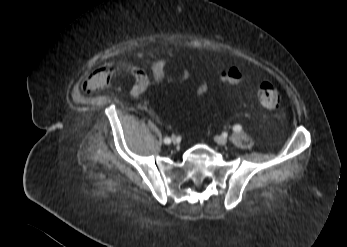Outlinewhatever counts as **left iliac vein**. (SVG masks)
I'll use <instances>...</instances> for the list:
<instances>
[{
  "label": "left iliac vein",
  "mask_w": 347,
  "mask_h": 247,
  "mask_svg": "<svg viewBox=\"0 0 347 247\" xmlns=\"http://www.w3.org/2000/svg\"><path fill=\"white\" fill-rule=\"evenodd\" d=\"M214 140L219 145H226L227 144V139L223 136H215Z\"/></svg>",
  "instance_id": "left-iliac-vein-1"
}]
</instances>
